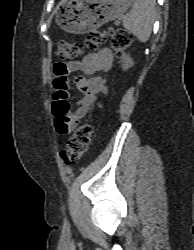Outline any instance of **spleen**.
I'll return each mask as SVG.
<instances>
[{"mask_svg":"<svg viewBox=\"0 0 194 250\" xmlns=\"http://www.w3.org/2000/svg\"><path fill=\"white\" fill-rule=\"evenodd\" d=\"M155 5V0H135L131 11L123 18L124 28L141 42L150 37L156 15Z\"/></svg>","mask_w":194,"mask_h":250,"instance_id":"spleen-1","label":"spleen"}]
</instances>
